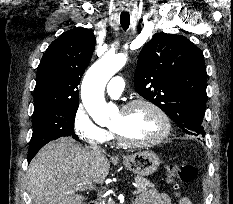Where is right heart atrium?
Here are the masks:
<instances>
[{"label":"right heart atrium","mask_w":233,"mask_h":204,"mask_svg":"<svg viewBox=\"0 0 233 204\" xmlns=\"http://www.w3.org/2000/svg\"><path fill=\"white\" fill-rule=\"evenodd\" d=\"M72 126L76 136L87 144H103L111 137L106 129L93 121L82 104L78 105L74 112Z\"/></svg>","instance_id":"d8ad5b80"}]
</instances>
